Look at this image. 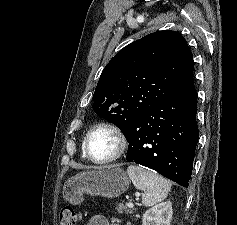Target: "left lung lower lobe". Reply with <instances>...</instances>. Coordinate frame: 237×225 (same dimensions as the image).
Listing matches in <instances>:
<instances>
[{
	"mask_svg": "<svg viewBox=\"0 0 237 225\" xmlns=\"http://www.w3.org/2000/svg\"><path fill=\"white\" fill-rule=\"evenodd\" d=\"M196 113L194 86L157 103L124 133L127 161L188 187L199 135Z\"/></svg>",
	"mask_w": 237,
	"mask_h": 225,
	"instance_id": "1",
	"label": "left lung lower lobe"
}]
</instances>
